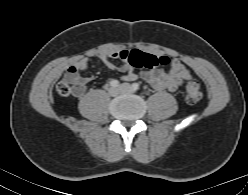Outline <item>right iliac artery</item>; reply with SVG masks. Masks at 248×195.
<instances>
[{
    "mask_svg": "<svg viewBox=\"0 0 248 195\" xmlns=\"http://www.w3.org/2000/svg\"><path fill=\"white\" fill-rule=\"evenodd\" d=\"M110 86H112V87H118L119 86V81L118 80H111L110 81Z\"/></svg>",
    "mask_w": 248,
    "mask_h": 195,
    "instance_id": "82829eb1",
    "label": "right iliac artery"
}]
</instances>
